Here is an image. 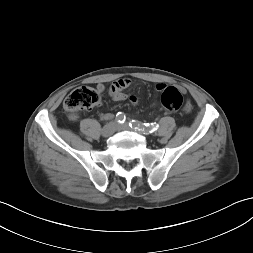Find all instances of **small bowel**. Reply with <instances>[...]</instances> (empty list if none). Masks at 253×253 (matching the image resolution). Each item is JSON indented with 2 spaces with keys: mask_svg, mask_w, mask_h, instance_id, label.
Returning <instances> with one entry per match:
<instances>
[{
  "mask_svg": "<svg viewBox=\"0 0 253 253\" xmlns=\"http://www.w3.org/2000/svg\"><path fill=\"white\" fill-rule=\"evenodd\" d=\"M131 81L127 78H121V79H118L117 81L113 82L111 87H110V95L111 97L115 100V101H124L127 96L123 93V90L125 88H127L129 85H130ZM166 87L165 84L163 83H158L156 85V89L158 91H162L164 88ZM96 89L97 91L100 93L104 90V86L102 84H98L96 86ZM130 101L131 103L135 104L137 99L135 96H131L130 97ZM193 110V105L190 103V102H185L183 105H182V112L185 114V115H190L191 114V111ZM110 116L108 114H104L103 115V118L107 119L109 118ZM70 118L72 119H75L76 116L74 115H71Z\"/></svg>",
  "mask_w": 253,
  "mask_h": 253,
  "instance_id": "1",
  "label": "small bowel"
}]
</instances>
